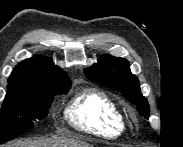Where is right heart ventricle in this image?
<instances>
[{"label": "right heart ventricle", "instance_id": "1", "mask_svg": "<svg viewBox=\"0 0 183 147\" xmlns=\"http://www.w3.org/2000/svg\"><path fill=\"white\" fill-rule=\"evenodd\" d=\"M65 118L78 131L104 138H115L125 131L116 102L98 89H85L68 103Z\"/></svg>", "mask_w": 183, "mask_h": 147}]
</instances>
